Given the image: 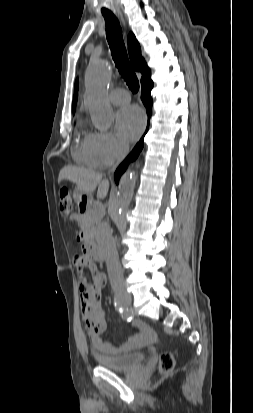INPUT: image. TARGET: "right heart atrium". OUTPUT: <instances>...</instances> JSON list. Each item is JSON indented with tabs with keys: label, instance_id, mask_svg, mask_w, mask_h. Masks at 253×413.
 I'll use <instances>...</instances> for the list:
<instances>
[{
	"label": "right heart atrium",
	"instance_id": "obj_1",
	"mask_svg": "<svg viewBox=\"0 0 253 413\" xmlns=\"http://www.w3.org/2000/svg\"><path fill=\"white\" fill-rule=\"evenodd\" d=\"M90 144L100 165L108 166L120 159L126 152V145L111 132L90 134Z\"/></svg>",
	"mask_w": 253,
	"mask_h": 413
}]
</instances>
